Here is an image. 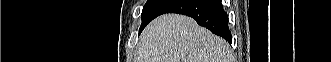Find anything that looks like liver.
I'll return each mask as SVG.
<instances>
[{
  "instance_id": "obj_1",
  "label": "liver",
  "mask_w": 331,
  "mask_h": 62,
  "mask_svg": "<svg viewBox=\"0 0 331 62\" xmlns=\"http://www.w3.org/2000/svg\"><path fill=\"white\" fill-rule=\"evenodd\" d=\"M140 62H229L228 43L179 14L154 19L138 44Z\"/></svg>"
}]
</instances>
